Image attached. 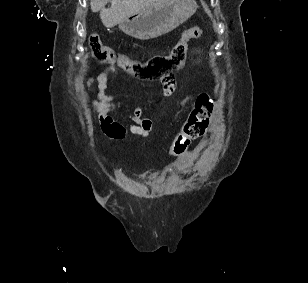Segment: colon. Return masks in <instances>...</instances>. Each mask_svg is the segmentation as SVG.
I'll list each match as a JSON object with an SVG mask.
<instances>
[{"label": "colon", "mask_w": 308, "mask_h": 283, "mask_svg": "<svg viewBox=\"0 0 308 283\" xmlns=\"http://www.w3.org/2000/svg\"><path fill=\"white\" fill-rule=\"evenodd\" d=\"M202 35L203 30L199 27L186 29L167 53L155 55L146 61L131 60L117 53L104 45L97 34L89 35L88 44L99 61L116 65L135 77L144 80H158L162 85L171 87L175 86L172 73L184 64L189 41L201 38ZM213 107V100L208 94L202 93L196 98L189 116L171 142L170 156L176 159L181 158L189 145L205 133Z\"/></svg>", "instance_id": "colon-1"}]
</instances>
